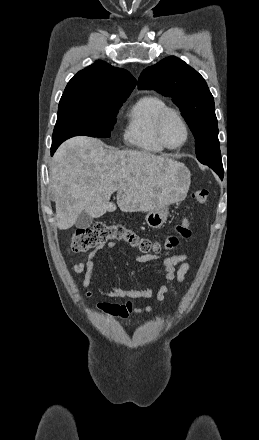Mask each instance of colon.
<instances>
[{
    "label": "colon",
    "mask_w": 259,
    "mask_h": 440,
    "mask_svg": "<svg viewBox=\"0 0 259 440\" xmlns=\"http://www.w3.org/2000/svg\"><path fill=\"white\" fill-rule=\"evenodd\" d=\"M208 195V190L199 189L192 193V198L196 202L204 204L208 199ZM191 235L192 232L186 218L176 225L175 233L168 235L163 243L140 237L132 229L121 224L99 222L89 228L77 229L72 235L70 250L74 253H81L102 246L110 240H123L142 253H157L162 249L176 248L181 240L189 239Z\"/></svg>",
    "instance_id": "5ec220e1"
}]
</instances>
